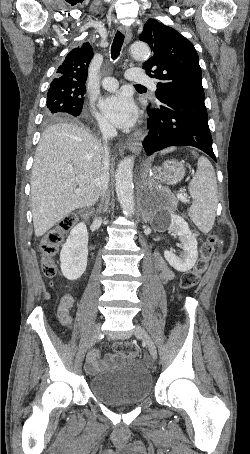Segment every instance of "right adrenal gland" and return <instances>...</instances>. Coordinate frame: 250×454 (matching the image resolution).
I'll list each match as a JSON object with an SVG mask.
<instances>
[{
    "mask_svg": "<svg viewBox=\"0 0 250 454\" xmlns=\"http://www.w3.org/2000/svg\"><path fill=\"white\" fill-rule=\"evenodd\" d=\"M108 202H109V195H108L107 201L105 202V206H104V208H103V211H104V212H105V211L107 210V208H108ZM101 211H102L101 206H99L98 209H97V212L100 213Z\"/></svg>",
    "mask_w": 250,
    "mask_h": 454,
    "instance_id": "2a0ac1e0",
    "label": "right adrenal gland"
}]
</instances>
